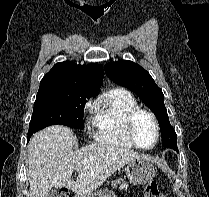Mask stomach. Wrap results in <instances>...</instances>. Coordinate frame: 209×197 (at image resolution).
Segmentation results:
<instances>
[{
  "instance_id": "1",
  "label": "stomach",
  "mask_w": 209,
  "mask_h": 197,
  "mask_svg": "<svg viewBox=\"0 0 209 197\" xmlns=\"http://www.w3.org/2000/svg\"><path fill=\"white\" fill-rule=\"evenodd\" d=\"M126 175L133 184H146L154 178L155 168L148 159L139 157L128 163ZM79 197H116V195L111 190L103 189Z\"/></svg>"
}]
</instances>
